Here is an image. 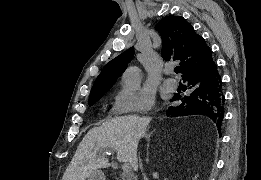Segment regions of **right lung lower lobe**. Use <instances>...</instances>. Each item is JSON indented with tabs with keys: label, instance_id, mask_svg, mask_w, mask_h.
<instances>
[{
	"label": "right lung lower lobe",
	"instance_id": "1",
	"mask_svg": "<svg viewBox=\"0 0 261 180\" xmlns=\"http://www.w3.org/2000/svg\"><path fill=\"white\" fill-rule=\"evenodd\" d=\"M182 78L188 82L190 91L172 98L171 101L180 100L181 104L169 107L167 116L206 115L215 122L220 134L225 97L215 62L191 69Z\"/></svg>",
	"mask_w": 261,
	"mask_h": 180
}]
</instances>
